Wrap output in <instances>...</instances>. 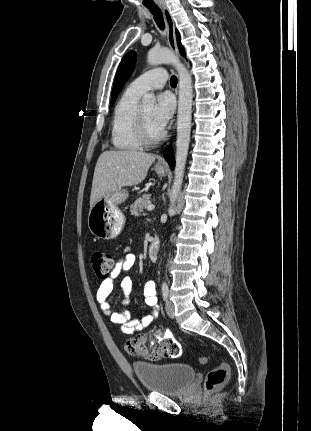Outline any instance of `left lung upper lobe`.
Masks as SVG:
<instances>
[{
  "instance_id": "left-lung-upper-lobe-1",
  "label": "left lung upper lobe",
  "mask_w": 311,
  "mask_h": 431,
  "mask_svg": "<svg viewBox=\"0 0 311 431\" xmlns=\"http://www.w3.org/2000/svg\"><path fill=\"white\" fill-rule=\"evenodd\" d=\"M176 36H177L179 51L182 56H185V51L183 46L180 43V35L178 31H176ZM135 63H136V53L133 51L128 52L122 58L114 80V86L112 90L111 104H110L111 106L114 104L119 92L121 91V88L129 78L131 73L133 72Z\"/></svg>"
}]
</instances>
